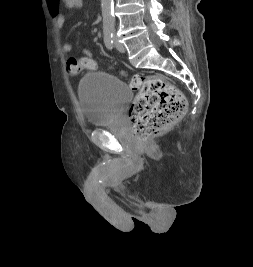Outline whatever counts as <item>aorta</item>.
I'll return each instance as SVG.
<instances>
[{
	"label": "aorta",
	"instance_id": "762f6f07",
	"mask_svg": "<svg viewBox=\"0 0 253 267\" xmlns=\"http://www.w3.org/2000/svg\"><path fill=\"white\" fill-rule=\"evenodd\" d=\"M103 26L114 28V4L113 0H101Z\"/></svg>",
	"mask_w": 253,
	"mask_h": 267
}]
</instances>
